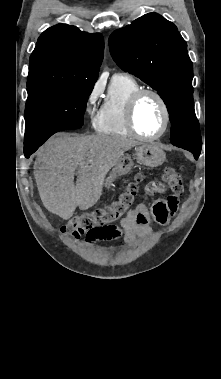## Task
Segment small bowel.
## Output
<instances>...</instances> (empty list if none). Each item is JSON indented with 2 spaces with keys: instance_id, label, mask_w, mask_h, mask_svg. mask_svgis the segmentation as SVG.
<instances>
[{
  "instance_id": "obj_1",
  "label": "small bowel",
  "mask_w": 221,
  "mask_h": 379,
  "mask_svg": "<svg viewBox=\"0 0 221 379\" xmlns=\"http://www.w3.org/2000/svg\"><path fill=\"white\" fill-rule=\"evenodd\" d=\"M161 192L158 184L152 183L147 187L148 194ZM165 198H156L151 210L146 204L140 203L133 211H130L121 220L120 227L115 226L106 234L88 235L86 241L92 243L96 240H110L123 237L129 245H134L137 238H145L152 234L150 225L151 216L159 224H167L171 216L177 210L178 199L181 197V190H165Z\"/></svg>"
}]
</instances>
